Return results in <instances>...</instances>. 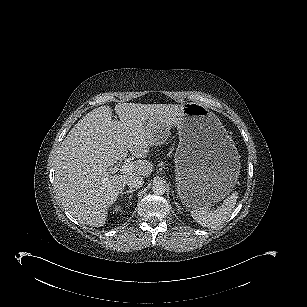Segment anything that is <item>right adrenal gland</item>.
I'll return each instance as SVG.
<instances>
[{
	"instance_id": "1",
	"label": "right adrenal gland",
	"mask_w": 307,
	"mask_h": 307,
	"mask_svg": "<svg viewBox=\"0 0 307 307\" xmlns=\"http://www.w3.org/2000/svg\"><path fill=\"white\" fill-rule=\"evenodd\" d=\"M135 190H136V189H129L128 191L123 192V193L121 194V199L123 198V195H124V194H127V195H129V201H130L131 198H132L133 192H134Z\"/></svg>"
}]
</instances>
